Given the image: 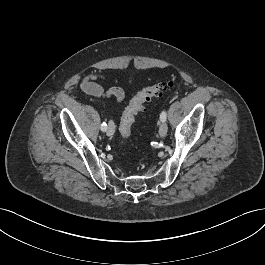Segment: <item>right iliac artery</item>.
Wrapping results in <instances>:
<instances>
[{
	"mask_svg": "<svg viewBox=\"0 0 265 265\" xmlns=\"http://www.w3.org/2000/svg\"><path fill=\"white\" fill-rule=\"evenodd\" d=\"M101 130H102V131H106V130H107V124H106L105 122H103V123L101 124Z\"/></svg>",
	"mask_w": 265,
	"mask_h": 265,
	"instance_id": "right-iliac-artery-1",
	"label": "right iliac artery"
}]
</instances>
